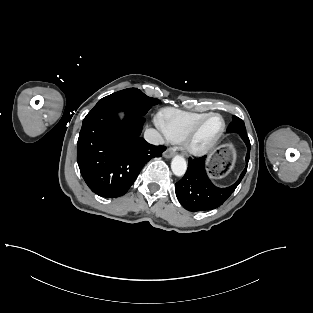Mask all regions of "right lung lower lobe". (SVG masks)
Returning a JSON list of instances; mask_svg holds the SVG:
<instances>
[{
	"mask_svg": "<svg viewBox=\"0 0 313 313\" xmlns=\"http://www.w3.org/2000/svg\"><path fill=\"white\" fill-rule=\"evenodd\" d=\"M125 113L119 120L118 112ZM145 118L126 107L106 105L84 118L77 142V162L83 179L97 195H124L142 167L162 156L165 146H154L140 137Z\"/></svg>",
	"mask_w": 313,
	"mask_h": 313,
	"instance_id": "1",
	"label": "right lung lower lobe"
}]
</instances>
